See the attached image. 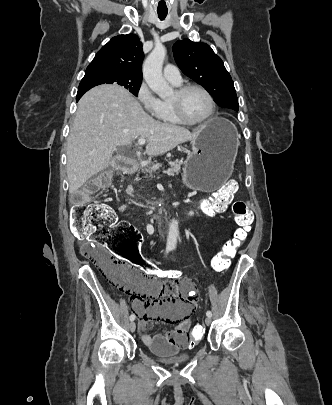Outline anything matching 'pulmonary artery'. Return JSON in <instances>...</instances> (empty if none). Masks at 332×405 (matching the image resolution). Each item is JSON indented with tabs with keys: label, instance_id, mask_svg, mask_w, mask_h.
Returning <instances> with one entry per match:
<instances>
[{
	"label": "pulmonary artery",
	"instance_id": "e3ab8cb5",
	"mask_svg": "<svg viewBox=\"0 0 332 405\" xmlns=\"http://www.w3.org/2000/svg\"><path fill=\"white\" fill-rule=\"evenodd\" d=\"M164 77L173 84H180L182 81L179 69L171 64L164 67Z\"/></svg>",
	"mask_w": 332,
	"mask_h": 405
}]
</instances>
